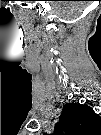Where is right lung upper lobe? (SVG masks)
Masks as SVG:
<instances>
[{"instance_id": "cb5924a9", "label": "right lung upper lobe", "mask_w": 101, "mask_h": 135, "mask_svg": "<svg viewBox=\"0 0 101 135\" xmlns=\"http://www.w3.org/2000/svg\"><path fill=\"white\" fill-rule=\"evenodd\" d=\"M100 117L89 106L81 104L64 105L55 133L66 135H98Z\"/></svg>"}]
</instances>
